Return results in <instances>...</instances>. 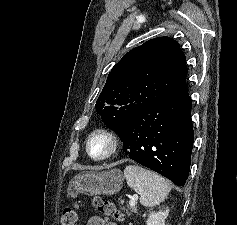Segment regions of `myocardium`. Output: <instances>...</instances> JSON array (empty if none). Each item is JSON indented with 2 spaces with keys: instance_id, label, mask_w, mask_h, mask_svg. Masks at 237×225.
<instances>
[{
  "instance_id": "myocardium-1",
  "label": "myocardium",
  "mask_w": 237,
  "mask_h": 225,
  "mask_svg": "<svg viewBox=\"0 0 237 225\" xmlns=\"http://www.w3.org/2000/svg\"><path fill=\"white\" fill-rule=\"evenodd\" d=\"M99 138L106 141L107 149L101 155H94L91 150L92 144L96 139ZM119 145V139L113 131L107 128H98L89 134L86 140V152L88 156L95 161H105L111 158L118 151Z\"/></svg>"
}]
</instances>
